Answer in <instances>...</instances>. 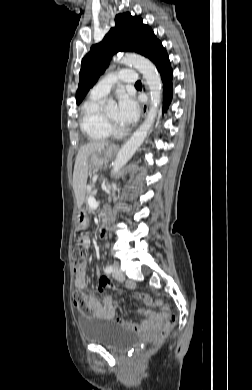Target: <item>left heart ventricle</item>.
<instances>
[{
  "instance_id": "b2bd125f",
  "label": "left heart ventricle",
  "mask_w": 252,
  "mask_h": 390,
  "mask_svg": "<svg viewBox=\"0 0 252 390\" xmlns=\"http://www.w3.org/2000/svg\"><path fill=\"white\" fill-rule=\"evenodd\" d=\"M105 114L112 121H114L116 123L118 122L117 121V108L115 106L110 108Z\"/></svg>"
}]
</instances>
